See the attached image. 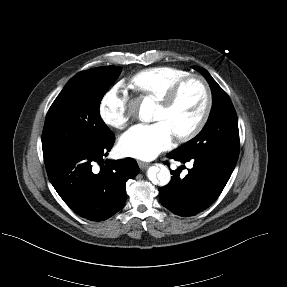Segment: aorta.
I'll return each instance as SVG.
<instances>
[{
    "instance_id": "obj_1",
    "label": "aorta",
    "mask_w": 287,
    "mask_h": 287,
    "mask_svg": "<svg viewBox=\"0 0 287 287\" xmlns=\"http://www.w3.org/2000/svg\"><path fill=\"white\" fill-rule=\"evenodd\" d=\"M154 103L150 99H144L140 106L139 116L143 121H150ZM147 177L153 184L167 185L171 180L169 169L164 165L151 166L147 170Z\"/></svg>"
}]
</instances>
